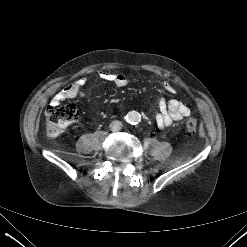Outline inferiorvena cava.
<instances>
[{"label": "inferior vena cava", "mask_w": 247, "mask_h": 247, "mask_svg": "<svg viewBox=\"0 0 247 247\" xmlns=\"http://www.w3.org/2000/svg\"><path fill=\"white\" fill-rule=\"evenodd\" d=\"M109 128L111 131L117 132L122 129V122L118 120L112 121L109 125Z\"/></svg>", "instance_id": "inferior-vena-cava-1"}]
</instances>
